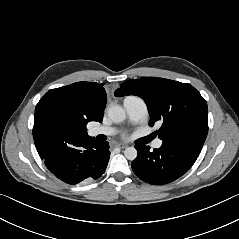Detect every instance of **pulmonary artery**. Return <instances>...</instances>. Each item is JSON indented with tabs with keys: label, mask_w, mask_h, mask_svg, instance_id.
Here are the masks:
<instances>
[{
	"label": "pulmonary artery",
	"mask_w": 239,
	"mask_h": 239,
	"mask_svg": "<svg viewBox=\"0 0 239 239\" xmlns=\"http://www.w3.org/2000/svg\"><path fill=\"white\" fill-rule=\"evenodd\" d=\"M123 107L126 111L128 119L133 123H141L146 120L148 116V108L143 99L137 96H128L123 101ZM90 135H106L111 136L116 133L114 127L109 126H95L89 130ZM162 145V141L157 139L153 146L159 148Z\"/></svg>",
	"instance_id": "1"
}]
</instances>
